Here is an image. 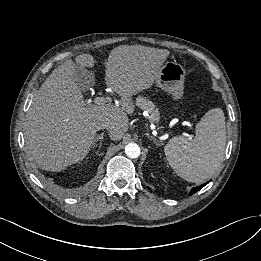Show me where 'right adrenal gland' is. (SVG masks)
<instances>
[{
	"label": "right adrenal gland",
	"instance_id": "2a0ac1e0",
	"mask_svg": "<svg viewBox=\"0 0 261 261\" xmlns=\"http://www.w3.org/2000/svg\"><path fill=\"white\" fill-rule=\"evenodd\" d=\"M104 137V133H101L100 135L96 136L92 143V148L97 146V142H99L98 150L96 151V155H98L99 149L102 146V139Z\"/></svg>",
	"mask_w": 261,
	"mask_h": 261
}]
</instances>
